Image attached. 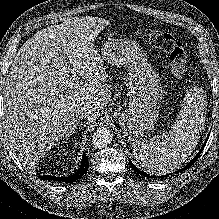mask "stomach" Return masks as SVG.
<instances>
[{"label": "stomach", "instance_id": "1", "mask_svg": "<svg viewBox=\"0 0 219 219\" xmlns=\"http://www.w3.org/2000/svg\"><path fill=\"white\" fill-rule=\"evenodd\" d=\"M101 60L127 70L129 104L121 114L122 133L130 140L148 134L158 119L163 89L159 75L133 40L113 38L100 50Z\"/></svg>", "mask_w": 219, "mask_h": 219}]
</instances>
